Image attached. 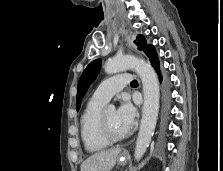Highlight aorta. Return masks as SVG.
<instances>
[{
	"label": "aorta",
	"mask_w": 223,
	"mask_h": 171,
	"mask_svg": "<svg viewBox=\"0 0 223 171\" xmlns=\"http://www.w3.org/2000/svg\"><path fill=\"white\" fill-rule=\"evenodd\" d=\"M126 69H134L143 85L142 119L134 153V157L138 161L143 157L155 130L159 112V83L152 66L146 61L133 56L115 57L108 60L104 66L107 74H115ZM108 109L114 110L115 107L114 105H109Z\"/></svg>",
	"instance_id": "aorta-1"
}]
</instances>
